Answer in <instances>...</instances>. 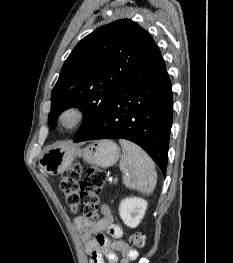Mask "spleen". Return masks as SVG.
I'll return each mask as SVG.
<instances>
[{
  "label": "spleen",
  "instance_id": "obj_1",
  "mask_svg": "<svg viewBox=\"0 0 233 263\" xmlns=\"http://www.w3.org/2000/svg\"><path fill=\"white\" fill-rule=\"evenodd\" d=\"M123 155L119 164L126 187L150 194L157 183L155 165L148 154L136 144L119 140Z\"/></svg>",
  "mask_w": 233,
  "mask_h": 263
}]
</instances>
